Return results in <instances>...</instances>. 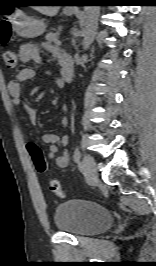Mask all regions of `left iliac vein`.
<instances>
[{
	"label": "left iliac vein",
	"mask_w": 156,
	"mask_h": 266,
	"mask_svg": "<svg viewBox=\"0 0 156 266\" xmlns=\"http://www.w3.org/2000/svg\"><path fill=\"white\" fill-rule=\"evenodd\" d=\"M82 167L89 177L90 181L93 184H96L98 182V173L94 159L89 155L84 156L82 160Z\"/></svg>",
	"instance_id": "1"
}]
</instances>
